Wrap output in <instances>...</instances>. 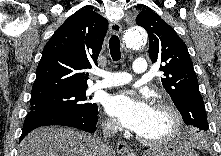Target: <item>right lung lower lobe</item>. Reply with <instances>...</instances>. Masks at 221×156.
Segmentation results:
<instances>
[{"instance_id":"obj_1","label":"right lung lower lobe","mask_w":221,"mask_h":156,"mask_svg":"<svg viewBox=\"0 0 221 156\" xmlns=\"http://www.w3.org/2000/svg\"><path fill=\"white\" fill-rule=\"evenodd\" d=\"M98 111L96 113H50L30 111L25 119L20 141L32 130L47 125H62L93 133L96 131Z\"/></svg>"}]
</instances>
